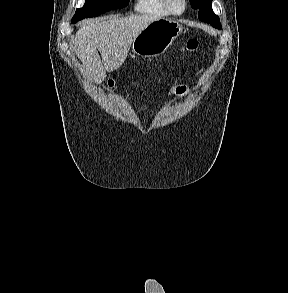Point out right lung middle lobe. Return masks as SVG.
Here are the masks:
<instances>
[{
	"mask_svg": "<svg viewBox=\"0 0 288 293\" xmlns=\"http://www.w3.org/2000/svg\"><path fill=\"white\" fill-rule=\"evenodd\" d=\"M128 3L129 0H86L84 7L76 10L71 23H76L88 17H95L113 9L123 8Z\"/></svg>",
	"mask_w": 288,
	"mask_h": 293,
	"instance_id": "1",
	"label": "right lung middle lobe"
}]
</instances>
